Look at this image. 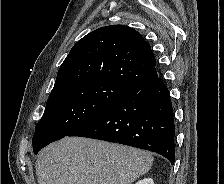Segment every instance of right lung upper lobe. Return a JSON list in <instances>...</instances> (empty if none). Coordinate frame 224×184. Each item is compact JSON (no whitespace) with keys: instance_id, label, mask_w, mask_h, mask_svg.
<instances>
[{"instance_id":"cb5924a9","label":"right lung upper lobe","mask_w":224,"mask_h":184,"mask_svg":"<svg viewBox=\"0 0 224 184\" xmlns=\"http://www.w3.org/2000/svg\"><path fill=\"white\" fill-rule=\"evenodd\" d=\"M150 45L134 29L110 25L96 29L71 49L49 97L78 83L111 81L128 87L158 77Z\"/></svg>"}]
</instances>
